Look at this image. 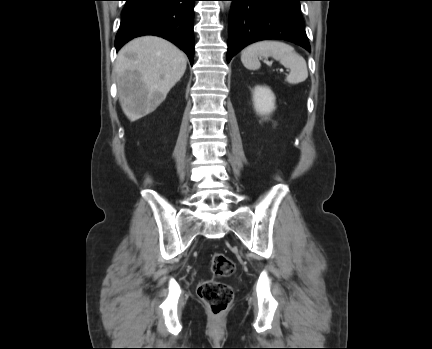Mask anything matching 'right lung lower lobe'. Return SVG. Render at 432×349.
Masks as SVG:
<instances>
[{"mask_svg": "<svg viewBox=\"0 0 432 349\" xmlns=\"http://www.w3.org/2000/svg\"><path fill=\"white\" fill-rule=\"evenodd\" d=\"M115 39L118 51L129 40L143 35L163 37L194 59V3L196 0H125Z\"/></svg>", "mask_w": 432, "mask_h": 349, "instance_id": "obj_1", "label": "right lung lower lobe"}]
</instances>
